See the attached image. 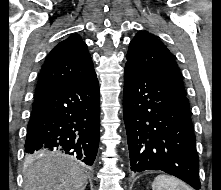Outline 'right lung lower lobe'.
Wrapping results in <instances>:
<instances>
[{"instance_id":"1","label":"right lung lower lobe","mask_w":221,"mask_h":190,"mask_svg":"<svg viewBox=\"0 0 221 190\" xmlns=\"http://www.w3.org/2000/svg\"><path fill=\"white\" fill-rule=\"evenodd\" d=\"M99 134L100 92L94 74L34 98L25 152H61L92 165Z\"/></svg>"}]
</instances>
